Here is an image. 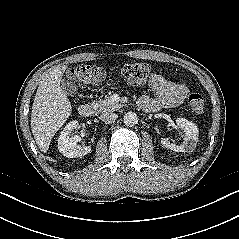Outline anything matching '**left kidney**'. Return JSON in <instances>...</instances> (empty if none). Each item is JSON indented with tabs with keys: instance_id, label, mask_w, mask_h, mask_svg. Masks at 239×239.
Here are the masks:
<instances>
[{
	"instance_id": "left-kidney-1",
	"label": "left kidney",
	"mask_w": 239,
	"mask_h": 239,
	"mask_svg": "<svg viewBox=\"0 0 239 239\" xmlns=\"http://www.w3.org/2000/svg\"><path fill=\"white\" fill-rule=\"evenodd\" d=\"M176 124L185 132L184 143L181 145H176L175 143H170L168 138H162L161 144L165 148L173 150L175 152H192L193 150H195L198 141L197 126L185 118H177Z\"/></svg>"
}]
</instances>
